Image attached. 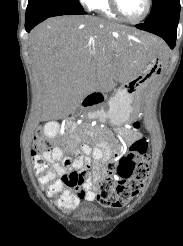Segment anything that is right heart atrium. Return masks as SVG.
<instances>
[{"label":"right heart atrium","mask_w":183,"mask_h":246,"mask_svg":"<svg viewBox=\"0 0 183 246\" xmlns=\"http://www.w3.org/2000/svg\"><path fill=\"white\" fill-rule=\"evenodd\" d=\"M82 3H84L85 5H87L89 7V4L91 2V0H80Z\"/></svg>","instance_id":"d8ad5b80"}]
</instances>
